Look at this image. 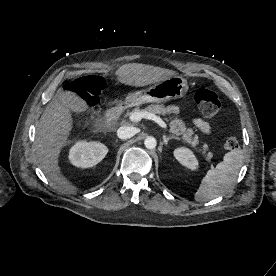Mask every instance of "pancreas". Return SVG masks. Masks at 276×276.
<instances>
[{
	"label": "pancreas",
	"instance_id": "1",
	"mask_svg": "<svg viewBox=\"0 0 276 276\" xmlns=\"http://www.w3.org/2000/svg\"><path fill=\"white\" fill-rule=\"evenodd\" d=\"M141 111H146L152 114H161V115H166V114H174L172 117H170V131L177 135V136H181V138L191 144L192 147H196V145H198L199 143V139L197 135H194L193 130L191 128H187L185 125V122L182 119H179L177 117L178 113H179V108L176 106H167L165 107L164 105H149L146 108H144L143 110H141L140 108H135L132 112H127L125 114V117L130 116L132 113L135 112H141ZM209 147L206 143H204V145L202 146V148L200 149L202 151V154L204 156V158L207 161H210L211 158L213 157V154L211 152H208Z\"/></svg>",
	"mask_w": 276,
	"mask_h": 276
}]
</instances>
